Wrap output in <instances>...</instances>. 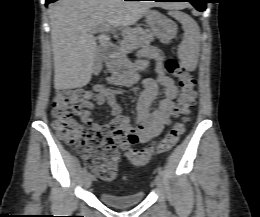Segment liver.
Instances as JSON below:
<instances>
[{
	"mask_svg": "<svg viewBox=\"0 0 260 217\" xmlns=\"http://www.w3.org/2000/svg\"><path fill=\"white\" fill-rule=\"evenodd\" d=\"M151 7L181 8L170 3L125 2L123 0H58L50 6L51 42L54 58V88L74 89L91 80L97 53L92 30L111 25L124 29L133 25ZM99 42L107 46L109 37Z\"/></svg>",
	"mask_w": 260,
	"mask_h": 217,
	"instance_id": "liver-1",
	"label": "liver"
}]
</instances>
